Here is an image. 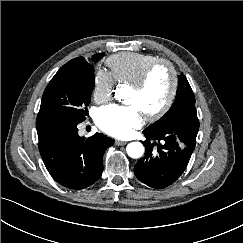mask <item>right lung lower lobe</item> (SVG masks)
Listing matches in <instances>:
<instances>
[{"label":"right lung lower lobe","instance_id":"98d812e1","mask_svg":"<svg viewBox=\"0 0 243 243\" xmlns=\"http://www.w3.org/2000/svg\"><path fill=\"white\" fill-rule=\"evenodd\" d=\"M78 123L36 120L39 151L47 170L59 184L71 189L86 188L99 179L104 152L114 144V140L100 133L81 138Z\"/></svg>","mask_w":243,"mask_h":243}]
</instances>
